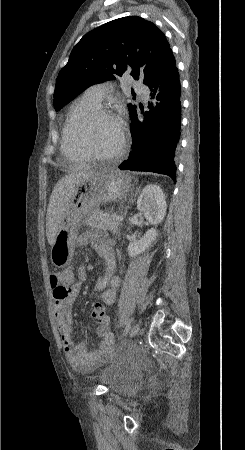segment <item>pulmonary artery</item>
<instances>
[{"label":"pulmonary artery","instance_id":"1","mask_svg":"<svg viewBox=\"0 0 245 450\" xmlns=\"http://www.w3.org/2000/svg\"><path fill=\"white\" fill-rule=\"evenodd\" d=\"M141 88V85H139L138 83H136L133 87L135 92L140 94L142 93L144 97H148V93L143 92ZM112 94L113 90L105 84H95L85 91V95L99 105L102 104L106 96H110Z\"/></svg>","mask_w":245,"mask_h":450}]
</instances>
